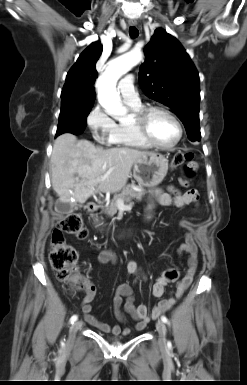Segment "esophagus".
Here are the masks:
<instances>
[{
	"label": "esophagus",
	"mask_w": 247,
	"mask_h": 385,
	"mask_svg": "<svg viewBox=\"0 0 247 385\" xmlns=\"http://www.w3.org/2000/svg\"><path fill=\"white\" fill-rule=\"evenodd\" d=\"M129 25H130V26H136V25H137V22H136V21H129Z\"/></svg>",
	"instance_id": "34e87169"
}]
</instances>
